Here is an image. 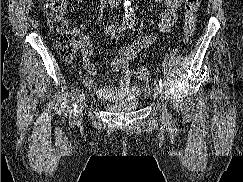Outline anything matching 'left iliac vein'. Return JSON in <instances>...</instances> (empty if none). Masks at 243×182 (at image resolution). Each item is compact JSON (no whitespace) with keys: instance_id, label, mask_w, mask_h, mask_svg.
I'll use <instances>...</instances> for the list:
<instances>
[{"instance_id":"obj_1","label":"left iliac vein","mask_w":243,"mask_h":182,"mask_svg":"<svg viewBox=\"0 0 243 182\" xmlns=\"http://www.w3.org/2000/svg\"><path fill=\"white\" fill-rule=\"evenodd\" d=\"M154 93L155 95H157L159 98L162 97V89L159 85H156L154 87ZM169 119H170V115H169V112L166 108L165 105H163L162 107V121L164 124H168L169 123Z\"/></svg>"}]
</instances>
